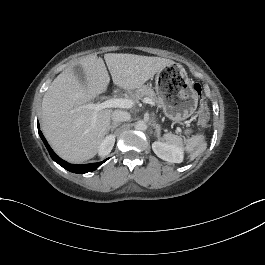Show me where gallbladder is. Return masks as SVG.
<instances>
[{
    "mask_svg": "<svg viewBox=\"0 0 265 265\" xmlns=\"http://www.w3.org/2000/svg\"><path fill=\"white\" fill-rule=\"evenodd\" d=\"M75 74L79 77L80 80H83V72L80 67L74 69Z\"/></svg>",
    "mask_w": 265,
    "mask_h": 265,
    "instance_id": "gallbladder-1",
    "label": "gallbladder"
}]
</instances>
